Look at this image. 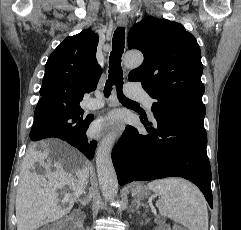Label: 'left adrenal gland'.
<instances>
[{
    "instance_id": "1",
    "label": "left adrenal gland",
    "mask_w": 241,
    "mask_h": 230,
    "mask_svg": "<svg viewBox=\"0 0 241 230\" xmlns=\"http://www.w3.org/2000/svg\"><path fill=\"white\" fill-rule=\"evenodd\" d=\"M133 204H137V206H136V208L135 209H132V211H135V210H137L142 204L140 203V200L138 199V200H134L133 202H132Z\"/></svg>"
}]
</instances>
